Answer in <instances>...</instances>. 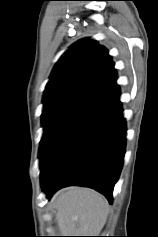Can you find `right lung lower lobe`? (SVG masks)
Wrapping results in <instances>:
<instances>
[{
	"label": "right lung lower lobe",
	"mask_w": 158,
	"mask_h": 237,
	"mask_svg": "<svg viewBox=\"0 0 158 237\" xmlns=\"http://www.w3.org/2000/svg\"><path fill=\"white\" fill-rule=\"evenodd\" d=\"M126 125L116 82L80 105L40 146L41 187L50 199L68 185L96 189L112 203L124 161Z\"/></svg>",
	"instance_id": "right-lung-lower-lobe-1"
}]
</instances>
